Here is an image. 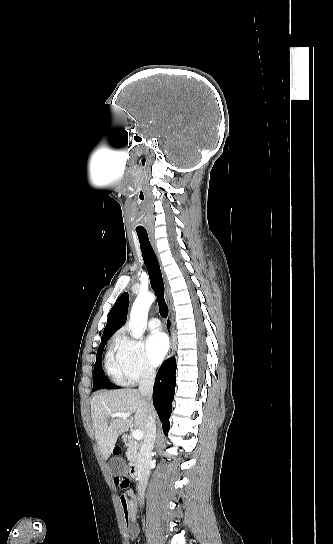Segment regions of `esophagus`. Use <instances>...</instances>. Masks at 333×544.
Instances as JSON below:
<instances>
[{"label": "esophagus", "mask_w": 333, "mask_h": 544, "mask_svg": "<svg viewBox=\"0 0 333 544\" xmlns=\"http://www.w3.org/2000/svg\"><path fill=\"white\" fill-rule=\"evenodd\" d=\"M151 243H152V246H153V249L157 255V258L159 260V263H160V258H159V253L157 251V246H156V243H155V240L153 237H151ZM162 275H163V279H164V293H165V298H166V302H167V305H168V317L166 318V321H165V325H166V328H167V331L170 335V340H171V344H170V350H169V353H168V358H170L175 349H176V338H175V335H174V332H173V322H172V311H173V306H172V296H171V291H170V287L168 285V282L166 280V276H165V273L164 271L162 270Z\"/></svg>", "instance_id": "obj_1"}]
</instances>
